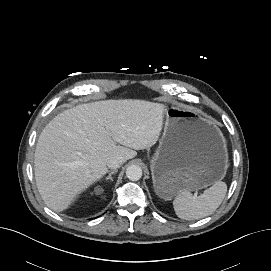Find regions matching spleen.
I'll return each instance as SVG.
<instances>
[{
	"label": "spleen",
	"mask_w": 271,
	"mask_h": 271,
	"mask_svg": "<svg viewBox=\"0 0 271 271\" xmlns=\"http://www.w3.org/2000/svg\"><path fill=\"white\" fill-rule=\"evenodd\" d=\"M227 192L225 182L217 181L201 195L188 191L179 193L173 201L176 215L185 220H198L211 215L224 200Z\"/></svg>",
	"instance_id": "spleen-1"
}]
</instances>
